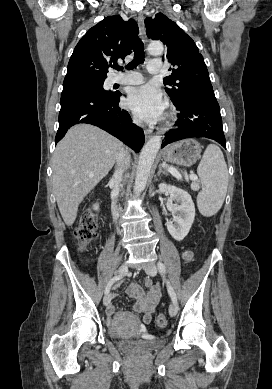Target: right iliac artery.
<instances>
[{
    "label": "right iliac artery",
    "mask_w": 272,
    "mask_h": 389,
    "mask_svg": "<svg viewBox=\"0 0 272 389\" xmlns=\"http://www.w3.org/2000/svg\"><path fill=\"white\" fill-rule=\"evenodd\" d=\"M121 277L119 276H114L113 278H111L105 288V295H107L109 292H110V289H111V286L118 280H120Z\"/></svg>",
    "instance_id": "right-iliac-artery-1"
}]
</instances>
